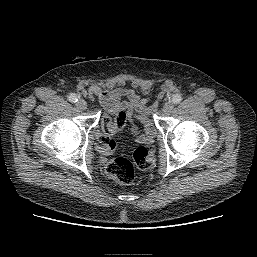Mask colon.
Masks as SVG:
<instances>
[{"instance_id":"colon-1","label":"colon","mask_w":257,"mask_h":257,"mask_svg":"<svg viewBox=\"0 0 257 257\" xmlns=\"http://www.w3.org/2000/svg\"><path fill=\"white\" fill-rule=\"evenodd\" d=\"M127 125V117L124 113H118L114 117L106 116L102 119L101 129L97 133V139L100 143V150L103 153L112 152L116 143L113 135L124 129ZM134 131L135 128L131 127ZM154 163V150L147 147H138L132 153V160L117 157L109 162L106 172L112 179L122 183L131 184L135 178V166L146 169Z\"/></svg>"}]
</instances>
